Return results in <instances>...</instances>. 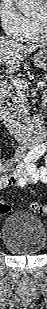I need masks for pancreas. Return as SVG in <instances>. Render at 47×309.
I'll use <instances>...</instances> for the list:
<instances>
[{
	"label": "pancreas",
	"instance_id": "1",
	"mask_svg": "<svg viewBox=\"0 0 47 309\" xmlns=\"http://www.w3.org/2000/svg\"><path fill=\"white\" fill-rule=\"evenodd\" d=\"M15 91L18 93V94H24L25 93V90L24 89H17L15 87ZM28 113H27V108L24 106L22 107L21 109H18L16 112H15V116H16V119L20 122H27L28 120Z\"/></svg>",
	"mask_w": 47,
	"mask_h": 309
}]
</instances>
